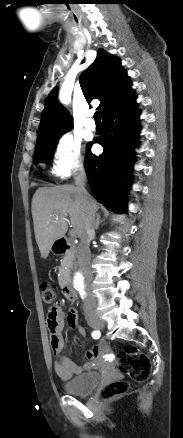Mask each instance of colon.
Segmentation results:
<instances>
[{
    "label": "colon",
    "mask_w": 183,
    "mask_h": 438,
    "mask_svg": "<svg viewBox=\"0 0 183 438\" xmlns=\"http://www.w3.org/2000/svg\"><path fill=\"white\" fill-rule=\"evenodd\" d=\"M41 294L45 304L50 305L55 301L56 291L50 283L41 284ZM116 365L120 372L136 381H145L151 373V362L148 356L131 345L125 346L119 352ZM127 390L128 383L117 380L105 386L101 391V396L105 400H110L124 394Z\"/></svg>",
    "instance_id": "5ec220e1"
}]
</instances>
